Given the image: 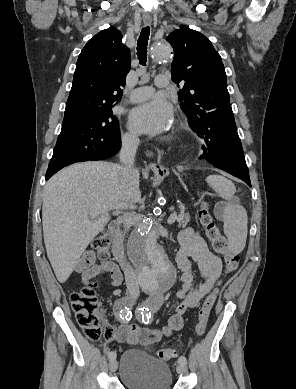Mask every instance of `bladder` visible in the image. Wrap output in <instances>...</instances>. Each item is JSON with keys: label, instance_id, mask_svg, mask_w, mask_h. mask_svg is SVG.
I'll list each match as a JSON object with an SVG mask.
<instances>
[{"label": "bladder", "instance_id": "1", "mask_svg": "<svg viewBox=\"0 0 296 389\" xmlns=\"http://www.w3.org/2000/svg\"><path fill=\"white\" fill-rule=\"evenodd\" d=\"M119 379L128 389H171L172 385L169 365L139 349L121 355Z\"/></svg>", "mask_w": 296, "mask_h": 389}]
</instances>
